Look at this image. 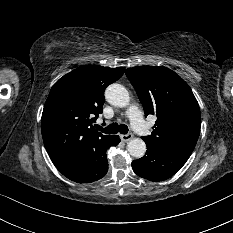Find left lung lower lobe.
I'll list each match as a JSON object with an SVG mask.
<instances>
[{
    "label": "left lung lower lobe",
    "mask_w": 233,
    "mask_h": 233,
    "mask_svg": "<svg viewBox=\"0 0 233 233\" xmlns=\"http://www.w3.org/2000/svg\"><path fill=\"white\" fill-rule=\"evenodd\" d=\"M145 141V140H144ZM146 154L132 162L134 172L150 181H163L178 172L191 155V151L159 146L145 141Z\"/></svg>",
    "instance_id": "obj_1"
}]
</instances>
